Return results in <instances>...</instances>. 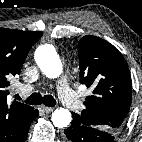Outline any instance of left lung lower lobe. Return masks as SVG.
<instances>
[{"label": "left lung lower lobe", "mask_w": 142, "mask_h": 142, "mask_svg": "<svg viewBox=\"0 0 142 142\" xmlns=\"http://www.w3.org/2000/svg\"><path fill=\"white\" fill-rule=\"evenodd\" d=\"M64 133L67 142H114L115 137L110 131L81 125L74 117L72 125Z\"/></svg>", "instance_id": "1"}]
</instances>
